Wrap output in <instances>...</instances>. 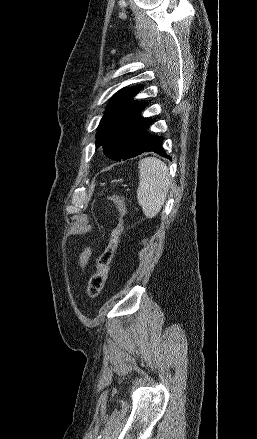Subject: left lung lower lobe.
Here are the masks:
<instances>
[{
	"mask_svg": "<svg viewBox=\"0 0 257 439\" xmlns=\"http://www.w3.org/2000/svg\"><path fill=\"white\" fill-rule=\"evenodd\" d=\"M151 122V120H147L140 134L137 145L135 146L133 151L123 160L136 157L145 152H154L161 155L162 157L170 158L162 147L163 137L151 135L147 132V129L151 125Z\"/></svg>",
	"mask_w": 257,
	"mask_h": 439,
	"instance_id": "obj_1",
	"label": "left lung lower lobe"
}]
</instances>
